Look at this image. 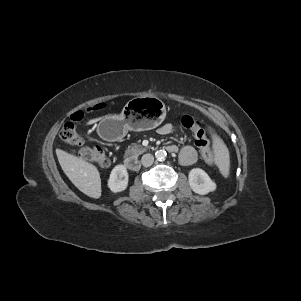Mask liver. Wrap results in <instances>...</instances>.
<instances>
[{"label": "liver", "mask_w": 301, "mask_h": 301, "mask_svg": "<svg viewBox=\"0 0 301 301\" xmlns=\"http://www.w3.org/2000/svg\"><path fill=\"white\" fill-rule=\"evenodd\" d=\"M107 115L103 118L92 119L88 124H93L99 120L111 117ZM56 154L60 166L70 181L84 194L89 197L98 199L101 196V179L98 169L61 149H56Z\"/></svg>", "instance_id": "liver-1"}]
</instances>
